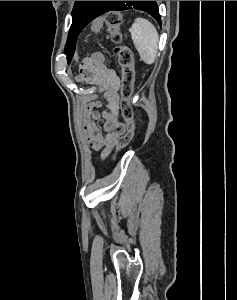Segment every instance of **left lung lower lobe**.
<instances>
[{"label": "left lung lower lobe", "instance_id": "1", "mask_svg": "<svg viewBox=\"0 0 237 300\" xmlns=\"http://www.w3.org/2000/svg\"><path fill=\"white\" fill-rule=\"evenodd\" d=\"M112 10H118V11L123 10L122 7L120 6V1H109V3L104 7L102 14Z\"/></svg>", "mask_w": 237, "mask_h": 300}]
</instances>
